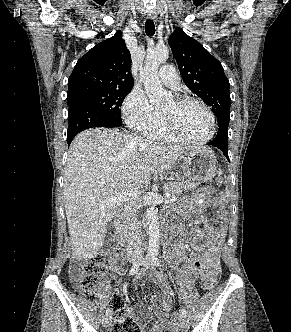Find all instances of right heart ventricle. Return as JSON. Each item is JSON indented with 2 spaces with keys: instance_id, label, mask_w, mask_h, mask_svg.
Listing matches in <instances>:
<instances>
[{
  "instance_id": "right-heart-ventricle-1",
  "label": "right heart ventricle",
  "mask_w": 291,
  "mask_h": 332,
  "mask_svg": "<svg viewBox=\"0 0 291 332\" xmlns=\"http://www.w3.org/2000/svg\"><path fill=\"white\" fill-rule=\"evenodd\" d=\"M160 115V123L159 125L146 132L145 135L149 138V139H152V140H155V141H160V142H165V143H177V142H181V140H179L178 138L174 137L173 135H171L168 130L166 129L165 127V124H164V121H163V118L161 116V114L159 113Z\"/></svg>"
}]
</instances>
